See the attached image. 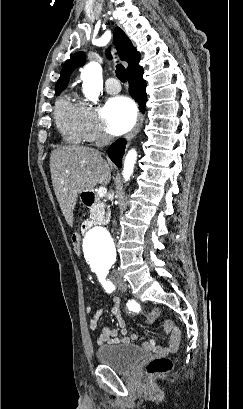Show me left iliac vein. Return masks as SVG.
I'll list each match as a JSON object with an SVG mask.
<instances>
[{"mask_svg":"<svg viewBox=\"0 0 243 409\" xmlns=\"http://www.w3.org/2000/svg\"><path fill=\"white\" fill-rule=\"evenodd\" d=\"M113 283L121 290V291H126L127 290V284L125 280L119 275L115 274L112 277Z\"/></svg>","mask_w":243,"mask_h":409,"instance_id":"obj_1","label":"left iliac vein"}]
</instances>
